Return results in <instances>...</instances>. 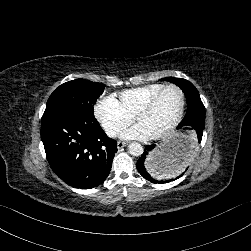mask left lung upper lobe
Here are the masks:
<instances>
[{"label":"left lung upper lobe","mask_w":251,"mask_h":251,"mask_svg":"<svg viewBox=\"0 0 251 251\" xmlns=\"http://www.w3.org/2000/svg\"><path fill=\"white\" fill-rule=\"evenodd\" d=\"M161 81H169L178 85L186 96L188 106H191L193 104L196 106H200L202 108L204 107L200 99L199 92L197 91L195 86L188 80H185L182 78L166 77V78L161 79ZM185 119H186V116L184 117L183 120Z\"/></svg>","instance_id":"1"}]
</instances>
